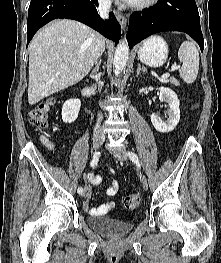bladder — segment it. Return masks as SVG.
<instances>
[{
  "instance_id": "1",
  "label": "bladder",
  "mask_w": 221,
  "mask_h": 263,
  "mask_svg": "<svg viewBox=\"0 0 221 263\" xmlns=\"http://www.w3.org/2000/svg\"><path fill=\"white\" fill-rule=\"evenodd\" d=\"M88 226L105 236L117 238L129 233L134 226L133 220H122L113 216H90Z\"/></svg>"
}]
</instances>
